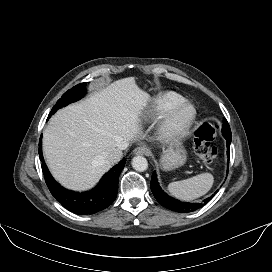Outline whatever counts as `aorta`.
Listing matches in <instances>:
<instances>
[{
	"mask_svg": "<svg viewBox=\"0 0 272 272\" xmlns=\"http://www.w3.org/2000/svg\"><path fill=\"white\" fill-rule=\"evenodd\" d=\"M132 167L139 172H143L148 168V161L143 156H135L132 159Z\"/></svg>",
	"mask_w": 272,
	"mask_h": 272,
	"instance_id": "obj_1",
	"label": "aorta"
}]
</instances>
